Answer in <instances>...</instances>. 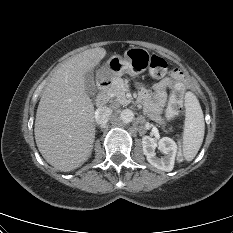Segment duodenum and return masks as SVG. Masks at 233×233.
Instances as JSON below:
<instances>
[{
    "label": "duodenum",
    "mask_w": 233,
    "mask_h": 233,
    "mask_svg": "<svg viewBox=\"0 0 233 233\" xmlns=\"http://www.w3.org/2000/svg\"><path fill=\"white\" fill-rule=\"evenodd\" d=\"M110 79L102 78L99 80V93L96 98V104L98 107H104L109 101L108 88L110 86Z\"/></svg>",
    "instance_id": "obj_1"
}]
</instances>
